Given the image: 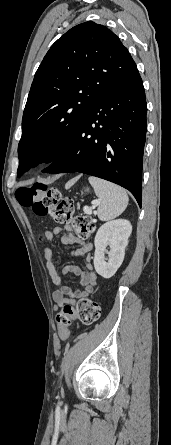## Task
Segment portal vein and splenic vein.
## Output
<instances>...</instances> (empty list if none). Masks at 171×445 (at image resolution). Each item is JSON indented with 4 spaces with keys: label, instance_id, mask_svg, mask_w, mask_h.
Masks as SVG:
<instances>
[{
    "label": "portal vein and splenic vein",
    "instance_id": "1",
    "mask_svg": "<svg viewBox=\"0 0 171 445\" xmlns=\"http://www.w3.org/2000/svg\"><path fill=\"white\" fill-rule=\"evenodd\" d=\"M98 204H99L98 201L93 202V206H92V208H95ZM83 210H84V212H85L86 214H91V213H92V209H91L90 207H84Z\"/></svg>",
    "mask_w": 171,
    "mask_h": 445
}]
</instances>
